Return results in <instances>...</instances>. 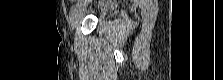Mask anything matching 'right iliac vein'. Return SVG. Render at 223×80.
Returning a JSON list of instances; mask_svg holds the SVG:
<instances>
[{
	"label": "right iliac vein",
	"instance_id": "right-iliac-vein-1",
	"mask_svg": "<svg viewBox=\"0 0 223 80\" xmlns=\"http://www.w3.org/2000/svg\"><path fill=\"white\" fill-rule=\"evenodd\" d=\"M84 11H85L84 6H79L75 9V11L73 12L72 17H71V27H72V29H74L77 26V24L79 23Z\"/></svg>",
	"mask_w": 223,
	"mask_h": 80
}]
</instances>
